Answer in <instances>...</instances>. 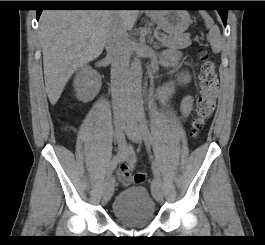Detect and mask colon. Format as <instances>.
Segmentation results:
<instances>
[{
  "label": "colon",
  "instance_id": "colon-1",
  "mask_svg": "<svg viewBox=\"0 0 265 245\" xmlns=\"http://www.w3.org/2000/svg\"><path fill=\"white\" fill-rule=\"evenodd\" d=\"M199 84V95L191 124V135L193 137L199 134L212 117L219 93L217 66L205 51L199 53ZM145 181V173L139 172L133 175L135 184H142Z\"/></svg>",
  "mask_w": 265,
  "mask_h": 245
}]
</instances>
